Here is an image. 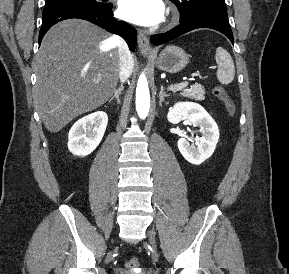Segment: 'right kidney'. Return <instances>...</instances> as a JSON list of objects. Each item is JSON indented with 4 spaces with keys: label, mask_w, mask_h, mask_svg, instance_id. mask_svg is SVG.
Segmentation results:
<instances>
[{
    "label": "right kidney",
    "mask_w": 289,
    "mask_h": 274,
    "mask_svg": "<svg viewBox=\"0 0 289 274\" xmlns=\"http://www.w3.org/2000/svg\"><path fill=\"white\" fill-rule=\"evenodd\" d=\"M108 123L103 111L91 113L74 123L68 134V149L73 155L87 156L100 144Z\"/></svg>",
    "instance_id": "ca27d5eb"
}]
</instances>
